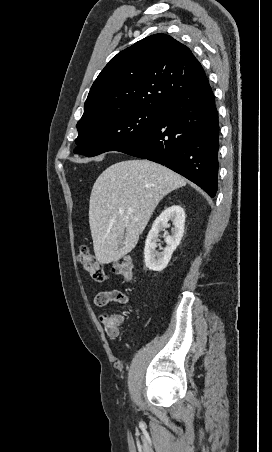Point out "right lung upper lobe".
Here are the masks:
<instances>
[{
    "label": "right lung upper lobe",
    "mask_w": 272,
    "mask_h": 452,
    "mask_svg": "<svg viewBox=\"0 0 272 452\" xmlns=\"http://www.w3.org/2000/svg\"><path fill=\"white\" fill-rule=\"evenodd\" d=\"M207 82L188 47L165 34L151 35L105 66L90 89L79 122L136 107L163 109Z\"/></svg>",
    "instance_id": "1"
}]
</instances>
